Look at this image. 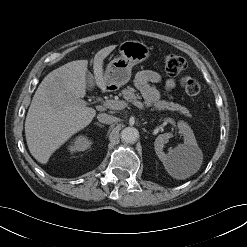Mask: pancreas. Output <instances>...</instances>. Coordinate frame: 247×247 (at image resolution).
<instances>
[{
    "instance_id": "pancreas-1",
    "label": "pancreas",
    "mask_w": 247,
    "mask_h": 247,
    "mask_svg": "<svg viewBox=\"0 0 247 247\" xmlns=\"http://www.w3.org/2000/svg\"><path fill=\"white\" fill-rule=\"evenodd\" d=\"M121 94L126 101L132 103L137 102L140 98V96L136 94V90L130 86H127V88L123 89ZM154 107L159 110L179 111L180 113L189 116L187 108L173 102H167L165 100L157 101L155 102Z\"/></svg>"
}]
</instances>
